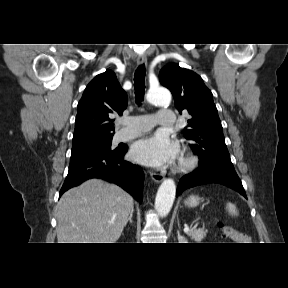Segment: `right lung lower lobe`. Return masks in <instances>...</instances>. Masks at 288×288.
<instances>
[{
    "mask_svg": "<svg viewBox=\"0 0 288 288\" xmlns=\"http://www.w3.org/2000/svg\"><path fill=\"white\" fill-rule=\"evenodd\" d=\"M128 147H120L107 153H98L81 160L70 162L68 175L59 196L70 188L90 178H101L115 183L142 203L143 170L123 157Z\"/></svg>",
    "mask_w": 288,
    "mask_h": 288,
    "instance_id": "98d812e1",
    "label": "right lung lower lobe"
}]
</instances>
